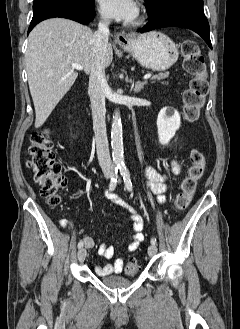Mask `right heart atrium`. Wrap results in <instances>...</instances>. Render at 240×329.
Wrapping results in <instances>:
<instances>
[{
	"mask_svg": "<svg viewBox=\"0 0 240 329\" xmlns=\"http://www.w3.org/2000/svg\"><path fill=\"white\" fill-rule=\"evenodd\" d=\"M102 20H103V21H106V19H105L104 17H102Z\"/></svg>",
	"mask_w": 240,
	"mask_h": 329,
	"instance_id": "1",
	"label": "right heart atrium"
}]
</instances>
